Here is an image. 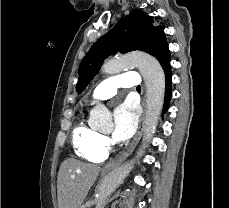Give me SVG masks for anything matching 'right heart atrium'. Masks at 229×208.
<instances>
[{"instance_id":"obj_1","label":"right heart atrium","mask_w":229,"mask_h":208,"mask_svg":"<svg viewBox=\"0 0 229 208\" xmlns=\"http://www.w3.org/2000/svg\"><path fill=\"white\" fill-rule=\"evenodd\" d=\"M99 147L103 152H107L111 149L112 142L108 137L101 136L100 142H99Z\"/></svg>"}]
</instances>
